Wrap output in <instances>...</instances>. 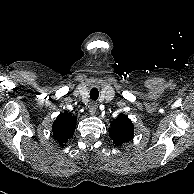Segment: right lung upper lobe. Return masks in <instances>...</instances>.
<instances>
[{"mask_svg": "<svg viewBox=\"0 0 194 194\" xmlns=\"http://www.w3.org/2000/svg\"><path fill=\"white\" fill-rule=\"evenodd\" d=\"M76 127V118L70 113H62L54 121L52 130L53 135L59 142L60 146L73 136Z\"/></svg>", "mask_w": 194, "mask_h": 194, "instance_id": "obj_1", "label": "right lung upper lobe"}]
</instances>
